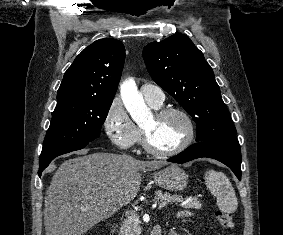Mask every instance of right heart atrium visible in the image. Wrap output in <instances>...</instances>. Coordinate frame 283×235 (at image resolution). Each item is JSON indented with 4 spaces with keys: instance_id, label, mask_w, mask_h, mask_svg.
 Here are the masks:
<instances>
[{
    "instance_id": "1",
    "label": "right heart atrium",
    "mask_w": 283,
    "mask_h": 235,
    "mask_svg": "<svg viewBox=\"0 0 283 235\" xmlns=\"http://www.w3.org/2000/svg\"><path fill=\"white\" fill-rule=\"evenodd\" d=\"M103 125L111 141L122 149L132 147L140 137L139 128L129 117L119 97L111 101Z\"/></svg>"
}]
</instances>
